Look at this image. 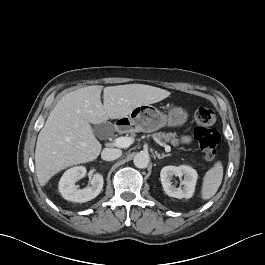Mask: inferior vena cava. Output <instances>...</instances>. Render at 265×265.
Segmentation results:
<instances>
[{
	"instance_id": "inferior-vena-cava-1",
	"label": "inferior vena cava",
	"mask_w": 265,
	"mask_h": 265,
	"mask_svg": "<svg viewBox=\"0 0 265 265\" xmlns=\"http://www.w3.org/2000/svg\"><path fill=\"white\" fill-rule=\"evenodd\" d=\"M122 155L120 149L115 148H105L101 153V158L105 161H113L118 159Z\"/></svg>"
}]
</instances>
